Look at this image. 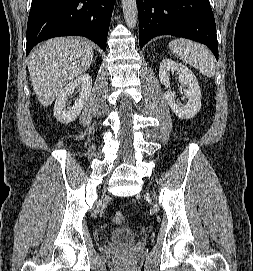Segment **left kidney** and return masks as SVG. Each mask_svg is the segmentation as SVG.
Here are the masks:
<instances>
[{
    "label": "left kidney",
    "instance_id": "1",
    "mask_svg": "<svg viewBox=\"0 0 253 271\" xmlns=\"http://www.w3.org/2000/svg\"><path fill=\"white\" fill-rule=\"evenodd\" d=\"M170 72H176L178 81L187 87L184 90L188 99L185 104L176 101L175 92L168 90L165 92V99L171 110L181 119L193 118L201 108V90L196 76L186 66L176 63L170 59H163L159 68V79L161 84L170 85Z\"/></svg>",
    "mask_w": 253,
    "mask_h": 271
}]
</instances>
